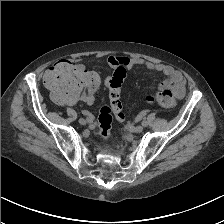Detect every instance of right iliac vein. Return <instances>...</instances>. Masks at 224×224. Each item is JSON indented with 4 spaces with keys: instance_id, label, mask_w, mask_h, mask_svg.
Masks as SVG:
<instances>
[{
    "instance_id": "right-iliac-vein-1",
    "label": "right iliac vein",
    "mask_w": 224,
    "mask_h": 224,
    "mask_svg": "<svg viewBox=\"0 0 224 224\" xmlns=\"http://www.w3.org/2000/svg\"><path fill=\"white\" fill-rule=\"evenodd\" d=\"M79 123H80L81 125H86V124H87V121H86L84 118H80V119H79Z\"/></svg>"
}]
</instances>
